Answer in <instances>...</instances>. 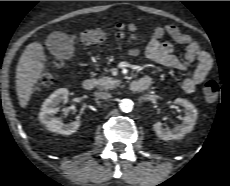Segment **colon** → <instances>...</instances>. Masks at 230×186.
Instances as JSON below:
<instances>
[{"label": "colon", "mask_w": 230, "mask_h": 186, "mask_svg": "<svg viewBox=\"0 0 230 186\" xmlns=\"http://www.w3.org/2000/svg\"><path fill=\"white\" fill-rule=\"evenodd\" d=\"M123 38L125 36L136 37L137 28L134 25H125L122 23L117 24L112 32H108L102 29H88L79 33L75 40L84 45L98 44L106 41L109 37ZM51 77L48 73H44L37 86V91L42 86H46L50 83ZM220 87L216 81H208L203 88L204 99L208 104H214L219 96Z\"/></svg>", "instance_id": "5ec220e1"}]
</instances>
